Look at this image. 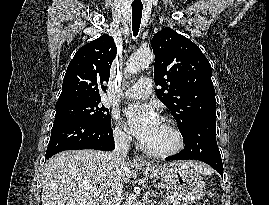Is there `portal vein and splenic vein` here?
Returning <instances> with one entry per match:
<instances>
[{
  "mask_svg": "<svg viewBox=\"0 0 269 205\" xmlns=\"http://www.w3.org/2000/svg\"><path fill=\"white\" fill-rule=\"evenodd\" d=\"M86 189H88L91 192H93L94 195H98L99 194V191L97 189H91L90 187H87Z\"/></svg>",
  "mask_w": 269,
  "mask_h": 205,
  "instance_id": "1",
  "label": "portal vein and splenic vein"
}]
</instances>
